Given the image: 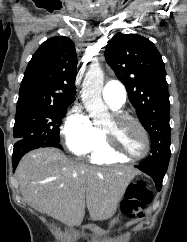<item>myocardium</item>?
I'll return each mask as SVG.
<instances>
[{
	"mask_svg": "<svg viewBox=\"0 0 187 242\" xmlns=\"http://www.w3.org/2000/svg\"><path fill=\"white\" fill-rule=\"evenodd\" d=\"M114 124L116 126H120L124 123H131L133 125H135L140 132L142 133L144 140H145V149L143 151V153L139 154V155H131L127 152H125L118 144L117 138L115 135L109 133L108 131H106L105 129L103 130V134H104V138H105V144L107 149L114 155L122 157L126 160H141L143 158H145L151 149V142H150V138H149V134L147 132V130L145 129V127L141 124V122L136 119L135 117H133L130 114L124 113V112H116L114 114H112L111 116Z\"/></svg>",
	"mask_w": 187,
	"mask_h": 242,
	"instance_id": "f54148a6",
	"label": "myocardium"
}]
</instances>
